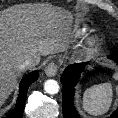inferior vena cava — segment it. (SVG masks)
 <instances>
[{"label":"inferior vena cava","instance_id":"obj_1","mask_svg":"<svg viewBox=\"0 0 118 118\" xmlns=\"http://www.w3.org/2000/svg\"><path fill=\"white\" fill-rule=\"evenodd\" d=\"M34 65H36V60L34 58H27L18 65V68L20 70H26Z\"/></svg>","mask_w":118,"mask_h":118}]
</instances>
